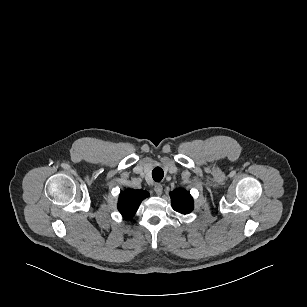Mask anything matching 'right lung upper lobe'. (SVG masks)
Masks as SVG:
<instances>
[{
  "mask_svg": "<svg viewBox=\"0 0 307 307\" xmlns=\"http://www.w3.org/2000/svg\"><path fill=\"white\" fill-rule=\"evenodd\" d=\"M149 196V193L143 190L127 189L122 191L118 200V210L126 219H130L136 213L143 199Z\"/></svg>",
  "mask_w": 307,
  "mask_h": 307,
  "instance_id": "cb5924a9",
  "label": "right lung upper lobe"
}]
</instances>
